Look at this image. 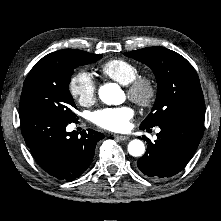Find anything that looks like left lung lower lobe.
Returning a JSON list of instances; mask_svg holds the SVG:
<instances>
[{
	"label": "left lung lower lobe",
	"instance_id": "left-lung-lower-lobe-1",
	"mask_svg": "<svg viewBox=\"0 0 221 221\" xmlns=\"http://www.w3.org/2000/svg\"><path fill=\"white\" fill-rule=\"evenodd\" d=\"M204 119L205 114H185L161 124L154 143L144 137L148 146L137 162L138 168L153 179H164L179 173L198 147L204 132Z\"/></svg>",
	"mask_w": 221,
	"mask_h": 221
}]
</instances>
